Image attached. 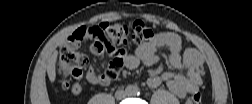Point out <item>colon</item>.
I'll return each instance as SVG.
<instances>
[{"label": "colon", "mask_w": 252, "mask_h": 104, "mask_svg": "<svg viewBox=\"0 0 252 104\" xmlns=\"http://www.w3.org/2000/svg\"><path fill=\"white\" fill-rule=\"evenodd\" d=\"M155 37V31L143 21L136 20L128 24L105 23L94 26H81L62 47L56 63L59 85L62 89H79L78 82L88 64L87 57L79 50L80 45L94 40L101 55L111 56L106 74L115 79L122 66V56L131 46L149 41ZM201 94L195 92L188 98L190 104H198Z\"/></svg>", "instance_id": "colon-1"}]
</instances>
